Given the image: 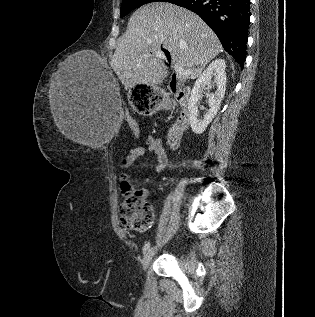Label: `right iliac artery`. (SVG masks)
Listing matches in <instances>:
<instances>
[{"label":"right iliac artery","instance_id":"right-iliac-artery-1","mask_svg":"<svg viewBox=\"0 0 315 317\" xmlns=\"http://www.w3.org/2000/svg\"><path fill=\"white\" fill-rule=\"evenodd\" d=\"M150 248V243H147L143 247V251L146 252Z\"/></svg>","mask_w":315,"mask_h":317}]
</instances>
